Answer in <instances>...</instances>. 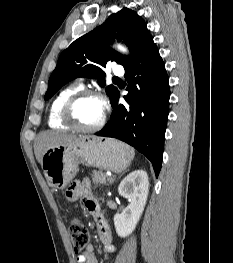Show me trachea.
<instances>
[{"label": "trachea", "instance_id": "obj_1", "mask_svg": "<svg viewBox=\"0 0 233 263\" xmlns=\"http://www.w3.org/2000/svg\"><path fill=\"white\" fill-rule=\"evenodd\" d=\"M121 79H119L118 77H114L113 81H120Z\"/></svg>", "mask_w": 233, "mask_h": 263}]
</instances>
